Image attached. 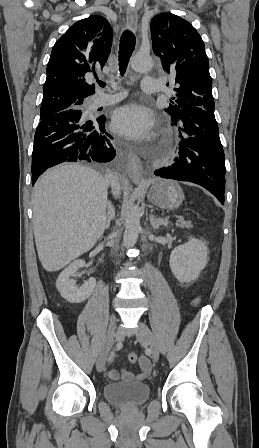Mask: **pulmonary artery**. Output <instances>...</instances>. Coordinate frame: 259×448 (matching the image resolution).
<instances>
[{
	"mask_svg": "<svg viewBox=\"0 0 259 448\" xmlns=\"http://www.w3.org/2000/svg\"><path fill=\"white\" fill-rule=\"evenodd\" d=\"M136 56L137 55H134L133 58H135ZM108 85H113V84H108ZM97 94H98V97L95 100V104H97V105L114 103V102L121 100L122 98H124L126 96V94L102 95L100 92H98Z\"/></svg>",
	"mask_w": 259,
	"mask_h": 448,
	"instance_id": "1",
	"label": "pulmonary artery"
}]
</instances>
